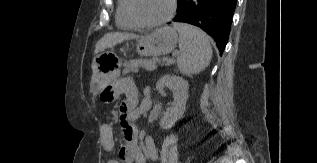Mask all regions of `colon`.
<instances>
[{
	"mask_svg": "<svg viewBox=\"0 0 317 163\" xmlns=\"http://www.w3.org/2000/svg\"><path fill=\"white\" fill-rule=\"evenodd\" d=\"M109 99H108V96H106V99L104 100V101H108Z\"/></svg>",
	"mask_w": 317,
	"mask_h": 163,
	"instance_id": "5ec220e1",
	"label": "colon"
}]
</instances>
